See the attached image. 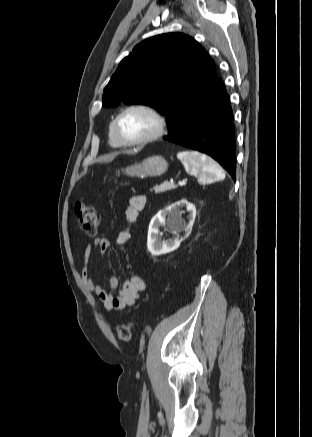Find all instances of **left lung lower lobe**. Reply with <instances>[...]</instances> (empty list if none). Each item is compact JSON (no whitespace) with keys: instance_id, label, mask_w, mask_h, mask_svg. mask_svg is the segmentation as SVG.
<instances>
[{"instance_id":"left-lung-lower-lobe-1","label":"left lung lower lobe","mask_w":312,"mask_h":437,"mask_svg":"<svg viewBox=\"0 0 312 437\" xmlns=\"http://www.w3.org/2000/svg\"><path fill=\"white\" fill-rule=\"evenodd\" d=\"M164 140L206 153L235 180V127L229 95L220 79L186 112Z\"/></svg>"}]
</instances>
